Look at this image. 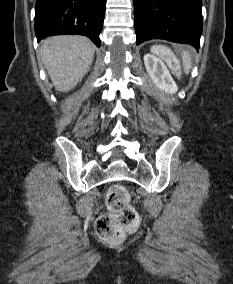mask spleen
I'll list each match as a JSON object with an SVG mask.
<instances>
[{"label":"spleen","instance_id":"obj_1","mask_svg":"<svg viewBox=\"0 0 233 284\" xmlns=\"http://www.w3.org/2000/svg\"><path fill=\"white\" fill-rule=\"evenodd\" d=\"M151 51L156 54V55H159L160 57H162L163 59H165V61L172 66V62H173V59H174V54L173 52L171 51V49H169L168 47L166 46H163V45H154L151 47ZM182 59H183V66H184V72L186 74L189 73L190 71V68H191V57H190V54L186 51L183 53V56H182ZM173 71L175 73L179 72L180 71V68L177 67H173Z\"/></svg>","mask_w":233,"mask_h":284}]
</instances>
